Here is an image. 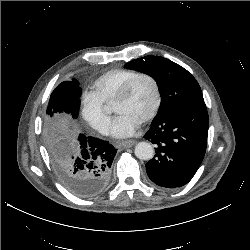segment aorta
I'll use <instances>...</instances> for the list:
<instances>
[{"instance_id": "aorta-1", "label": "aorta", "mask_w": 250, "mask_h": 250, "mask_svg": "<svg viewBox=\"0 0 250 250\" xmlns=\"http://www.w3.org/2000/svg\"><path fill=\"white\" fill-rule=\"evenodd\" d=\"M134 153L141 160H150L154 156V149L148 142H139L135 146Z\"/></svg>"}]
</instances>
